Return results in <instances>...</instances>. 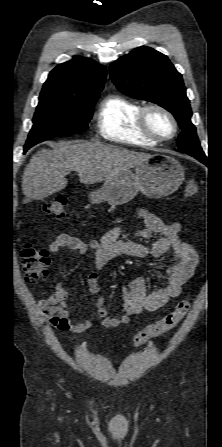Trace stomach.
<instances>
[{
  "instance_id": "0dacf381",
  "label": "stomach",
  "mask_w": 222,
  "mask_h": 447,
  "mask_svg": "<svg viewBox=\"0 0 222 447\" xmlns=\"http://www.w3.org/2000/svg\"><path fill=\"white\" fill-rule=\"evenodd\" d=\"M184 180V169L171 156L153 154L135 166V171L122 172L106 179L102 187L90 193L93 203L108 202L122 205L131 201L138 192L148 197L161 198L175 192Z\"/></svg>"
}]
</instances>
